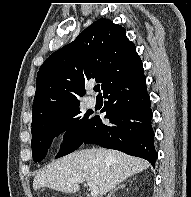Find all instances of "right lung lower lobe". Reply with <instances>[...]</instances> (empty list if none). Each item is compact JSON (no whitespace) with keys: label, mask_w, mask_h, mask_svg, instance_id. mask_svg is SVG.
Returning <instances> with one entry per match:
<instances>
[{"label":"right lung lower lobe","mask_w":191,"mask_h":197,"mask_svg":"<svg viewBox=\"0 0 191 197\" xmlns=\"http://www.w3.org/2000/svg\"><path fill=\"white\" fill-rule=\"evenodd\" d=\"M108 99L103 108L109 125L93 118L83 143L97 144L148 160L153 166L158 157L151 124L152 110L143 65L112 82L103 90Z\"/></svg>","instance_id":"obj_1"}]
</instances>
